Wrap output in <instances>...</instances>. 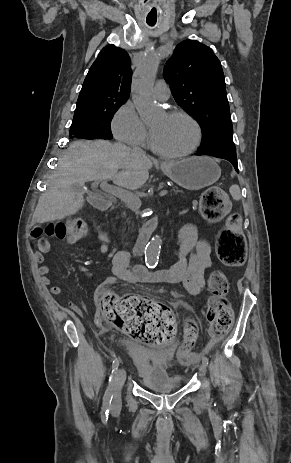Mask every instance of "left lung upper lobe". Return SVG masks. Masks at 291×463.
I'll return each mask as SVG.
<instances>
[{
    "mask_svg": "<svg viewBox=\"0 0 291 463\" xmlns=\"http://www.w3.org/2000/svg\"><path fill=\"white\" fill-rule=\"evenodd\" d=\"M164 74L176 102L201 126L199 150L236 154L224 74L213 51L185 40L176 46Z\"/></svg>",
    "mask_w": 291,
    "mask_h": 463,
    "instance_id": "1",
    "label": "left lung upper lobe"
}]
</instances>
